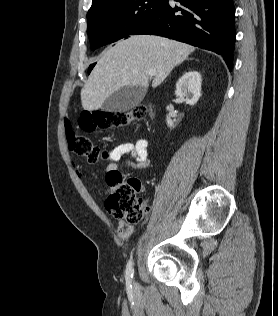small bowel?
I'll list each match as a JSON object with an SVG mask.
<instances>
[{
	"mask_svg": "<svg viewBox=\"0 0 278 316\" xmlns=\"http://www.w3.org/2000/svg\"><path fill=\"white\" fill-rule=\"evenodd\" d=\"M126 155H130V159L120 162ZM107 173L117 171L120 166L129 168H146L150 164L149 142L145 138L130 140L123 142L114 147L106 159ZM79 170L77 169V172ZM133 233V226L124 221H120L117 225L118 236L126 241Z\"/></svg>",
	"mask_w": 278,
	"mask_h": 316,
	"instance_id": "obj_1",
	"label": "small bowel"
}]
</instances>
